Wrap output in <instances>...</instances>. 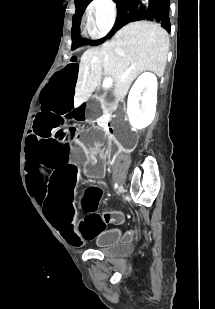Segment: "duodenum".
<instances>
[{"instance_id": "obj_1", "label": "duodenum", "mask_w": 215, "mask_h": 309, "mask_svg": "<svg viewBox=\"0 0 215 309\" xmlns=\"http://www.w3.org/2000/svg\"><path fill=\"white\" fill-rule=\"evenodd\" d=\"M101 125L106 130V132L108 133L109 136L114 134V128H113V125H112L111 121L103 120Z\"/></svg>"}]
</instances>
